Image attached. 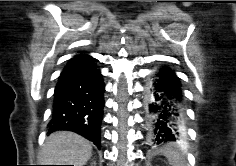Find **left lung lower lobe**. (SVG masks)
I'll list each match as a JSON object with an SVG mask.
<instances>
[{
	"label": "left lung lower lobe",
	"mask_w": 236,
	"mask_h": 166,
	"mask_svg": "<svg viewBox=\"0 0 236 166\" xmlns=\"http://www.w3.org/2000/svg\"><path fill=\"white\" fill-rule=\"evenodd\" d=\"M149 148L183 138L185 107L179 78L169 68L154 74L150 87Z\"/></svg>",
	"instance_id": "1"
}]
</instances>
